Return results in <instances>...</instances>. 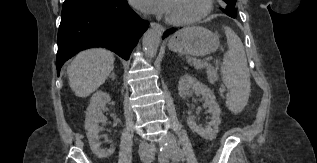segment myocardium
Listing matches in <instances>:
<instances>
[{"label":"myocardium","instance_id":"myocardium-1","mask_svg":"<svg viewBox=\"0 0 317 163\" xmlns=\"http://www.w3.org/2000/svg\"><path fill=\"white\" fill-rule=\"evenodd\" d=\"M214 7V0H204L203 1V7L201 9V11L189 18L186 19H174L171 17H166V21L174 26H188L191 24H194L196 22H199L200 20L204 19L205 17H207L213 10Z\"/></svg>","mask_w":317,"mask_h":163}]
</instances>
